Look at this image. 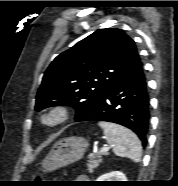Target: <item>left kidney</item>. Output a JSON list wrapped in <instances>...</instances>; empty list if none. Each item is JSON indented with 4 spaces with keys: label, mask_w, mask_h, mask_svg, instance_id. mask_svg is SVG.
<instances>
[{
    "label": "left kidney",
    "mask_w": 178,
    "mask_h": 186,
    "mask_svg": "<svg viewBox=\"0 0 178 186\" xmlns=\"http://www.w3.org/2000/svg\"><path fill=\"white\" fill-rule=\"evenodd\" d=\"M97 181H127L124 173L113 171L98 177Z\"/></svg>",
    "instance_id": "1"
}]
</instances>
